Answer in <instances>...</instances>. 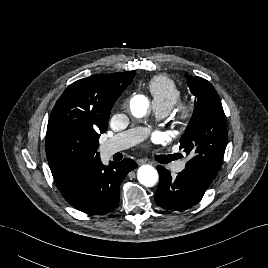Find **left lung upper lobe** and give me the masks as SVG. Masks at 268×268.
Segmentation results:
<instances>
[{"label": "left lung upper lobe", "instance_id": "left-lung-upper-lobe-1", "mask_svg": "<svg viewBox=\"0 0 268 268\" xmlns=\"http://www.w3.org/2000/svg\"><path fill=\"white\" fill-rule=\"evenodd\" d=\"M187 79L196 100L192 119L180 139V149L191 156L184 170L211 183L220 169L227 144L226 117L210 82L201 77Z\"/></svg>", "mask_w": 268, "mask_h": 268}]
</instances>
